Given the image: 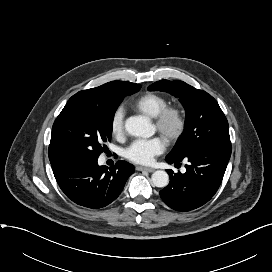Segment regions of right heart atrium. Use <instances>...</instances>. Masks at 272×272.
Segmentation results:
<instances>
[{"mask_svg": "<svg viewBox=\"0 0 272 272\" xmlns=\"http://www.w3.org/2000/svg\"><path fill=\"white\" fill-rule=\"evenodd\" d=\"M124 117L125 111L122 107L117 108L112 115L110 131L111 134L116 138H120L124 133Z\"/></svg>", "mask_w": 272, "mask_h": 272, "instance_id": "obj_1", "label": "right heart atrium"}]
</instances>
